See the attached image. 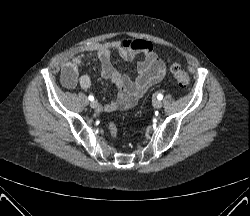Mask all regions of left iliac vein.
I'll list each match as a JSON object with an SVG mask.
<instances>
[{"mask_svg": "<svg viewBox=\"0 0 250 216\" xmlns=\"http://www.w3.org/2000/svg\"><path fill=\"white\" fill-rule=\"evenodd\" d=\"M153 106H154V108L159 109L162 107V102L160 100H154Z\"/></svg>", "mask_w": 250, "mask_h": 216, "instance_id": "left-iliac-vein-1", "label": "left iliac vein"}]
</instances>
